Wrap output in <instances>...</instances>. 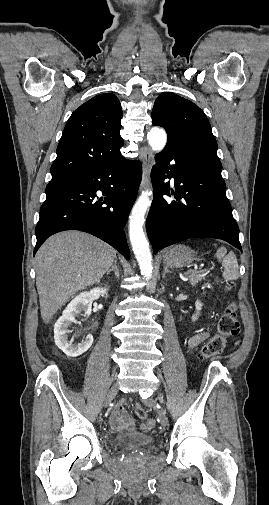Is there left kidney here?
Listing matches in <instances>:
<instances>
[{"instance_id": "1", "label": "left kidney", "mask_w": 269, "mask_h": 505, "mask_svg": "<svg viewBox=\"0 0 269 505\" xmlns=\"http://www.w3.org/2000/svg\"><path fill=\"white\" fill-rule=\"evenodd\" d=\"M202 306H203V304L201 303L200 300H197L195 302V307H196L197 312H196V314L192 315V321L193 322H195L198 319V317L200 315V311L202 309Z\"/></svg>"}]
</instances>
